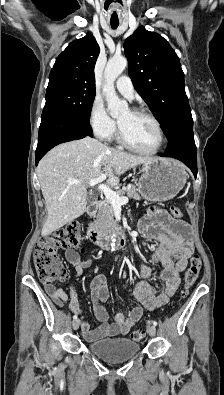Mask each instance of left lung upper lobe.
<instances>
[{
	"mask_svg": "<svg viewBox=\"0 0 224 395\" xmlns=\"http://www.w3.org/2000/svg\"><path fill=\"white\" fill-rule=\"evenodd\" d=\"M133 85L160 121L166 136L191 114L179 58L165 38L139 27L124 42Z\"/></svg>",
	"mask_w": 224,
	"mask_h": 395,
	"instance_id": "1",
	"label": "left lung upper lobe"
}]
</instances>
